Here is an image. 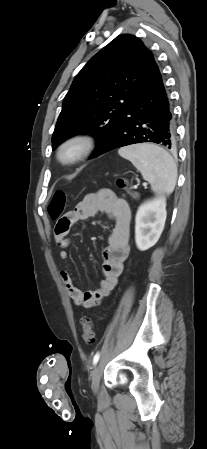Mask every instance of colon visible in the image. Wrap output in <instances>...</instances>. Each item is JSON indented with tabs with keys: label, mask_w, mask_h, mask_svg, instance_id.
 Instances as JSON below:
<instances>
[{
	"label": "colon",
	"mask_w": 207,
	"mask_h": 449,
	"mask_svg": "<svg viewBox=\"0 0 207 449\" xmlns=\"http://www.w3.org/2000/svg\"><path fill=\"white\" fill-rule=\"evenodd\" d=\"M119 188L128 189L129 182L125 178H119L117 180ZM130 194L134 198H138L137 192L130 190ZM67 203V196L64 191L58 190L54 192L52 200L48 206V215L51 220L58 222L64 213ZM82 337L87 344H93L95 342V333L92 320L90 318L82 319Z\"/></svg>",
	"instance_id": "obj_1"
}]
</instances>
